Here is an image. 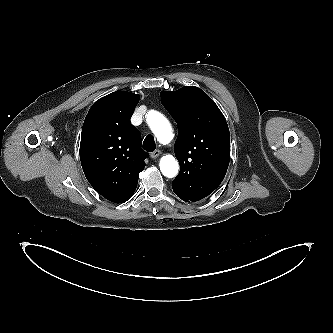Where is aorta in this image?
Wrapping results in <instances>:
<instances>
[{"mask_svg":"<svg viewBox=\"0 0 333 333\" xmlns=\"http://www.w3.org/2000/svg\"><path fill=\"white\" fill-rule=\"evenodd\" d=\"M150 129L162 144H168L173 139L172 128L167 118L161 113L154 112L148 120ZM160 170L168 178L178 173V162L172 155L163 156L160 160Z\"/></svg>","mask_w":333,"mask_h":333,"instance_id":"1","label":"aorta"}]
</instances>
